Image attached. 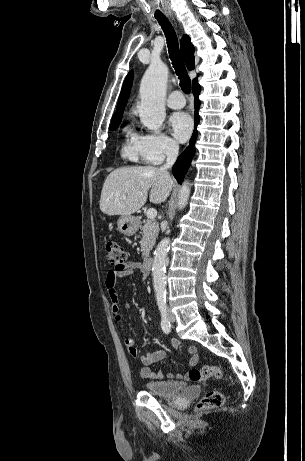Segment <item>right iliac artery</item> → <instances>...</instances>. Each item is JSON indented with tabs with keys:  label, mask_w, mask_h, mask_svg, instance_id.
Wrapping results in <instances>:
<instances>
[{
	"label": "right iliac artery",
	"mask_w": 305,
	"mask_h": 461,
	"mask_svg": "<svg viewBox=\"0 0 305 461\" xmlns=\"http://www.w3.org/2000/svg\"><path fill=\"white\" fill-rule=\"evenodd\" d=\"M157 304L161 312V327L164 333L168 334L171 331V324L167 316V305L165 297H157Z\"/></svg>",
	"instance_id": "82829eb1"
}]
</instances>
